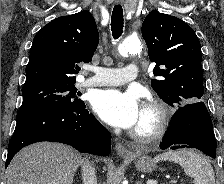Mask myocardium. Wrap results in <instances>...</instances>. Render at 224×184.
I'll return each instance as SVG.
<instances>
[{
  "instance_id": "1",
  "label": "myocardium",
  "mask_w": 224,
  "mask_h": 184,
  "mask_svg": "<svg viewBox=\"0 0 224 184\" xmlns=\"http://www.w3.org/2000/svg\"><path fill=\"white\" fill-rule=\"evenodd\" d=\"M144 110L151 113L153 122L149 131L141 132L133 129L130 135L136 141L149 143L160 140L167 132L171 121V111L163 102L157 99L147 100Z\"/></svg>"
}]
</instances>
